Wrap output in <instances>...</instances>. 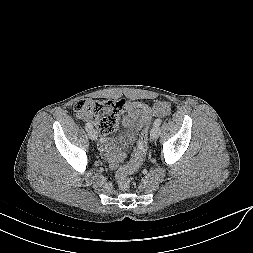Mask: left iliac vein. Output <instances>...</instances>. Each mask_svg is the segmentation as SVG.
I'll list each match as a JSON object with an SVG mask.
<instances>
[{"label": "left iliac vein", "instance_id": "left-iliac-vein-1", "mask_svg": "<svg viewBox=\"0 0 253 253\" xmlns=\"http://www.w3.org/2000/svg\"><path fill=\"white\" fill-rule=\"evenodd\" d=\"M160 130H159V126H153L151 131H150V137L152 140H157L158 136H159Z\"/></svg>", "mask_w": 253, "mask_h": 253}]
</instances>
